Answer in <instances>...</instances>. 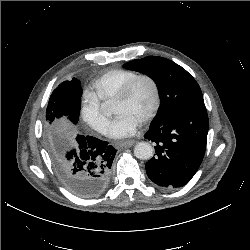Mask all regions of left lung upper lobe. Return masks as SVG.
<instances>
[{"instance_id": "1", "label": "left lung upper lobe", "mask_w": 250, "mask_h": 250, "mask_svg": "<svg viewBox=\"0 0 250 250\" xmlns=\"http://www.w3.org/2000/svg\"><path fill=\"white\" fill-rule=\"evenodd\" d=\"M124 67L146 74L157 84L161 105L152 122L161 121L183 109L204 105L195 79L180 65L158 56H147L124 64Z\"/></svg>"}]
</instances>
